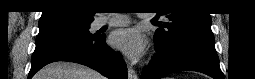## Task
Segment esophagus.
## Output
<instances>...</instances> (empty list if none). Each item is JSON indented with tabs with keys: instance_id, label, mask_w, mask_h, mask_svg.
Segmentation results:
<instances>
[{
	"instance_id": "obj_1",
	"label": "esophagus",
	"mask_w": 255,
	"mask_h": 79,
	"mask_svg": "<svg viewBox=\"0 0 255 79\" xmlns=\"http://www.w3.org/2000/svg\"><path fill=\"white\" fill-rule=\"evenodd\" d=\"M128 79H138L137 73L131 66H128Z\"/></svg>"
}]
</instances>
